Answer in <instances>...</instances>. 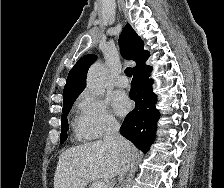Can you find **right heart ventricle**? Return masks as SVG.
I'll list each match as a JSON object with an SVG mask.
<instances>
[{
	"label": "right heart ventricle",
	"mask_w": 224,
	"mask_h": 188,
	"mask_svg": "<svg viewBox=\"0 0 224 188\" xmlns=\"http://www.w3.org/2000/svg\"><path fill=\"white\" fill-rule=\"evenodd\" d=\"M74 126V129H75V132L76 134L79 136V137H83V138H89L86 133L84 132L79 120H76L73 124Z\"/></svg>",
	"instance_id": "1"
}]
</instances>
